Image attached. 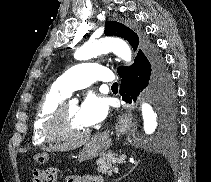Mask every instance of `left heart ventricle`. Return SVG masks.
Segmentation results:
<instances>
[{
  "mask_svg": "<svg viewBox=\"0 0 211 182\" xmlns=\"http://www.w3.org/2000/svg\"><path fill=\"white\" fill-rule=\"evenodd\" d=\"M65 129L69 133H79L86 129L78 117V107L74 104H68L65 109Z\"/></svg>",
  "mask_w": 211,
  "mask_h": 182,
  "instance_id": "1",
  "label": "left heart ventricle"
}]
</instances>
